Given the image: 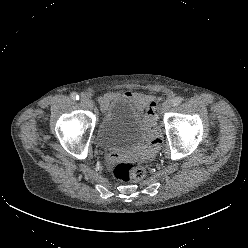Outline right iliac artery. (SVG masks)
<instances>
[{
  "mask_svg": "<svg viewBox=\"0 0 248 248\" xmlns=\"http://www.w3.org/2000/svg\"><path fill=\"white\" fill-rule=\"evenodd\" d=\"M79 95L77 94V93H75V92H73L72 94H71V99H73V100H79Z\"/></svg>",
  "mask_w": 248,
  "mask_h": 248,
  "instance_id": "right-iliac-artery-1",
  "label": "right iliac artery"
}]
</instances>
